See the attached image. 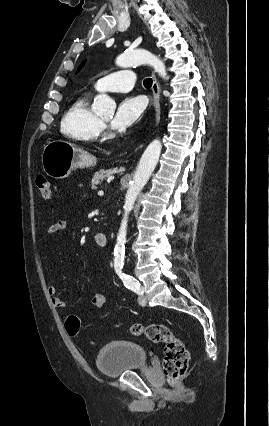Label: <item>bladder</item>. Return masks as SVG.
Wrapping results in <instances>:
<instances>
[{"instance_id":"31cf9c89","label":"bladder","mask_w":269,"mask_h":426,"mask_svg":"<svg viewBox=\"0 0 269 426\" xmlns=\"http://www.w3.org/2000/svg\"><path fill=\"white\" fill-rule=\"evenodd\" d=\"M99 370L107 377H118L147 364L144 348L135 342L117 340L105 345L96 355Z\"/></svg>"}]
</instances>
